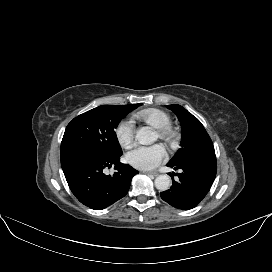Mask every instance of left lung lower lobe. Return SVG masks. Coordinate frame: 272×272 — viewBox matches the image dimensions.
<instances>
[{
    "label": "left lung lower lobe",
    "instance_id": "obj_1",
    "mask_svg": "<svg viewBox=\"0 0 272 272\" xmlns=\"http://www.w3.org/2000/svg\"><path fill=\"white\" fill-rule=\"evenodd\" d=\"M167 166L181 169L182 173L177 174L178 182L172 178L171 188L161 192V198L175 208L189 210L204 199L213 184L217 172L215 150L209 149Z\"/></svg>",
    "mask_w": 272,
    "mask_h": 272
}]
</instances>
